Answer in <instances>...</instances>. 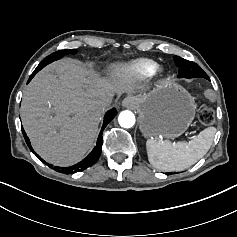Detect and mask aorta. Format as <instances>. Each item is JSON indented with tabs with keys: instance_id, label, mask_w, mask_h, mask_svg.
I'll return each instance as SVG.
<instances>
[{
	"instance_id": "obj_1",
	"label": "aorta",
	"mask_w": 237,
	"mask_h": 237,
	"mask_svg": "<svg viewBox=\"0 0 237 237\" xmlns=\"http://www.w3.org/2000/svg\"><path fill=\"white\" fill-rule=\"evenodd\" d=\"M119 125L122 128H132L136 122L135 116L131 111H123L118 117Z\"/></svg>"
}]
</instances>
